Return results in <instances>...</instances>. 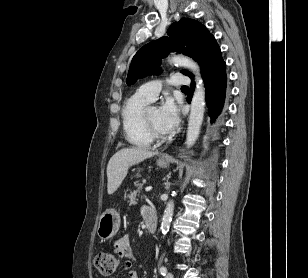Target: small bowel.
I'll return each mask as SVG.
<instances>
[{"mask_svg": "<svg viewBox=\"0 0 308 278\" xmlns=\"http://www.w3.org/2000/svg\"><path fill=\"white\" fill-rule=\"evenodd\" d=\"M150 211H153V210L149 207H144L143 215H145V213L150 212ZM113 252L117 256L122 257L126 260L125 270H126L127 278H139L136 271L131 268V262L134 261L136 257L132 251L128 236H123L117 242H115L114 247H113ZM114 278H117V277H114Z\"/></svg>", "mask_w": 308, "mask_h": 278, "instance_id": "obj_1", "label": "small bowel"}]
</instances>
